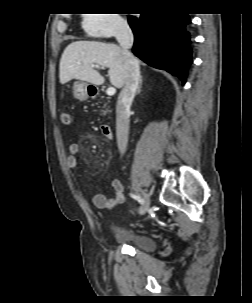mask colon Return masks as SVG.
<instances>
[{"mask_svg": "<svg viewBox=\"0 0 252 303\" xmlns=\"http://www.w3.org/2000/svg\"><path fill=\"white\" fill-rule=\"evenodd\" d=\"M60 119L63 125H70L72 122L71 114L67 111L61 112Z\"/></svg>", "mask_w": 252, "mask_h": 303, "instance_id": "1", "label": "colon"}]
</instances>
